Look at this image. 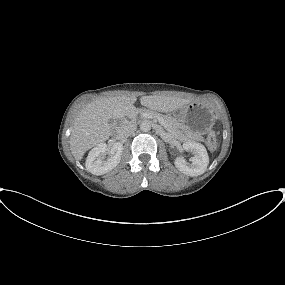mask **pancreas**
<instances>
[{
	"label": "pancreas",
	"mask_w": 285,
	"mask_h": 285,
	"mask_svg": "<svg viewBox=\"0 0 285 285\" xmlns=\"http://www.w3.org/2000/svg\"><path fill=\"white\" fill-rule=\"evenodd\" d=\"M137 113L141 114L142 116H144V114H148L150 116L157 117L158 119L163 120L166 124L165 129L174 136L181 137L184 135L183 133H185V129L181 126L179 121L174 117L161 115L149 110H137L136 114ZM133 118H135V116ZM200 139L201 135L195 136V140H200Z\"/></svg>",
	"instance_id": "obj_1"
}]
</instances>
